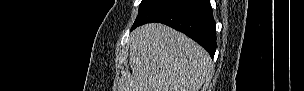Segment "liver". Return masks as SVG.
<instances>
[{
  "label": "liver",
  "mask_w": 304,
  "mask_h": 91,
  "mask_svg": "<svg viewBox=\"0 0 304 91\" xmlns=\"http://www.w3.org/2000/svg\"><path fill=\"white\" fill-rule=\"evenodd\" d=\"M129 65L132 76L123 91H199L212 70L199 44L158 23L132 32Z\"/></svg>",
  "instance_id": "6515ba94"
}]
</instances>
